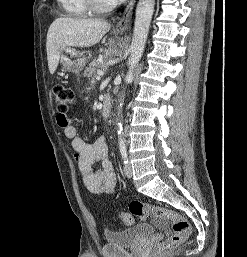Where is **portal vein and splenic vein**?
I'll return each instance as SVG.
<instances>
[{
  "mask_svg": "<svg viewBox=\"0 0 247 257\" xmlns=\"http://www.w3.org/2000/svg\"><path fill=\"white\" fill-rule=\"evenodd\" d=\"M103 75H104V72L101 71V70H98V71H97V76H96V78H100V77L103 76Z\"/></svg>",
  "mask_w": 247,
  "mask_h": 257,
  "instance_id": "obj_1",
  "label": "portal vein and splenic vein"
}]
</instances>
